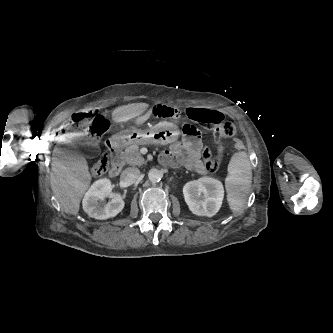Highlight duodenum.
Returning a JSON list of instances; mask_svg holds the SVG:
<instances>
[{
  "instance_id": "410a0bca",
  "label": "duodenum",
  "mask_w": 333,
  "mask_h": 333,
  "mask_svg": "<svg viewBox=\"0 0 333 333\" xmlns=\"http://www.w3.org/2000/svg\"><path fill=\"white\" fill-rule=\"evenodd\" d=\"M121 144L119 142L108 143V152L111 158V164L109 168V175L111 177H116L121 172L122 166L119 160Z\"/></svg>"
}]
</instances>
